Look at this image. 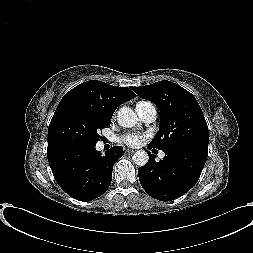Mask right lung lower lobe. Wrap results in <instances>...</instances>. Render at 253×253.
Wrapping results in <instances>:
<instances>
[{
  "instance_id": "98d812e1",
  "label": "right lung lower lobe",
  "mask_w": 253,
  "mask_h": 253,
  "mask_svg": "<svg viewBox=\"0 0 253 253\" xmlns=\"http://www.w3.org/2000/svg\"><path fill=\"white\" fill-rule=\"evenodd\" d=\"M123 154L121 146L111 147L105 155L95 145H70L47 151L56 182L79 201H91L108 190L113 166Z\"/></svg>"
}]
</instances>
